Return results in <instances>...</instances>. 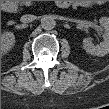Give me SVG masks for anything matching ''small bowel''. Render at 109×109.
Masks as SVG:
<instances>
[{"mask_svg":"<svg viewBox=\"0 0 109 109\" xmlns=\"http://www.w3.org/2000/svg\"><path fill=\"white\" fill-rule=\"evenodd\" d=\"M89 4H91V2H89V1H79L78 2V5H80V6H86V5H89Z\"/></svg>","mask_w":109,"mask_h":109,"instance_id":"1","label":"small bowel"}]
</instances>
